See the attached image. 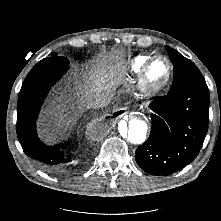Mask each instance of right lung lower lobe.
<instances>
[{"instance_id": "98d812e1", "label": "right lung lower lobe", "mask_w": 221, "mask_h": 221, "mask_svg": "<svg viewBox=\"0 0 221 221\" xmlns=\"http://www.w3.org/2000/svg\"><path fill=\"white\" fill-rule=\"evenodd\" d=\"M64 57H50L38 62L27 75L18 98L17 136L24 153L43 170L64 175L69 173L74 159L67 153V144L47 146L36 133V120L40 107L56 81L68 69Z\"/></svg>"}]
</instances>
